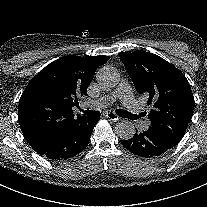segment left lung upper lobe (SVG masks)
<instances>
[{"instance_id":"obj_1","label":"left lung upper lobe","mask_w":207,"mask_h":207,"mask_svg":"<svg viewBox=\"0 0 207 207\" xmlns=\"http://www.w3.org/2000/svg\"><path fill=\"white\" fill-rule=\"evenodd\" d=\"M119 57L139 94L151 105L149 129L177 145L184 136L194 110V97L188 80L172 64L158 55L135 51ZM146 115V112H143Z\"/></svg>"}]
</instances>
